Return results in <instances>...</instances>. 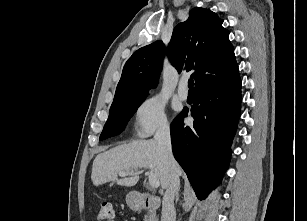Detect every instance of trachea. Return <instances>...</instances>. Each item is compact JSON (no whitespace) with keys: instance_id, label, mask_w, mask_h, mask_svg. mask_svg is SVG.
I'll return each instance as SVG.
<instances>
[{"instance_id":"1","label":"trachea","mask_w":307,"mask_h":221,"mask_svg":"<svg viewBox=\"0 0 307 221\" xmlns=\"http://www.w3.org/2000/svg\"><path fill=\"white\" fill-rule=\"evenodd\" d=\"M194 81L193 79H189L188 80V87H189V90H193L194 89Z\"/></svg>"}]
</instances>
